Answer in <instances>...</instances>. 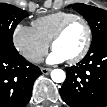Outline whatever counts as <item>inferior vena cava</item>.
Segmentation results:
<instances>
[{"label": "inferior vena cava", "instance_id": "602c4592", "mask_svg": "<svg viewBox=\"0 0 107 107\" xmlns=\"http://www.w3.org/2000/svg\"><path fill=\"white\" fill-rule=\"evenodd\" d=\"M29 61L32 63H41L43 62V57L41 55H33L29 58Z\"/></svg>", "mask_w": 107, "mask_h": 107}]
</instances>
